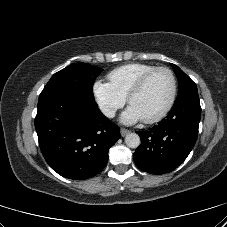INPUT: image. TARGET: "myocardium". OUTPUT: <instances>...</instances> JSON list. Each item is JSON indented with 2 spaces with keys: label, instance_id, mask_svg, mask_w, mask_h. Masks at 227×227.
Here are the masks:
<instances>
[{
  "label": "myocardium",
  "instance_id": "f54148a6",
  "mask_svg": "<svg viewBox=\"0 0 227 227\" xmlns=\"http://www.w3.org/2000/svg\"><path fill=\"white\" fill-rule=\"evenodd\" d=\"M159 71H165L166 73H168L170 80H171V94H170V98H169L166 106L158 114H156L155 116H152L150 118L142 119L143 122L146 124H153V123L159 122L170 112V110L174 106L176 97H177V91H178L177 79H176L174 72L166 66L154 67L153 69L144 73L134 83V85L131 87V89L129 90V92L126 96L127 102H128V104H130L132 98L143 89V87L145 86V84L147 83L149 78L153 74H155L156 72H159Z\"/></svg>",
  "mask_w": 227,
  "mask_h": 227
}]
</instances>
